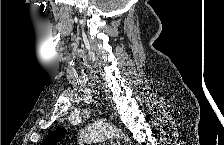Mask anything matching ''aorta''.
Listing matches in <instances>:
<instances>
[{
    "label": "aorta",
    "instance_id": "1",
    "mask_svg": "<svg viewBox=\"0 0 224 145\" xmlns=\"http://www.w3.org/2000/svg\"><path fill=\"white\" fill-rule=\"evenodd\" d=\"M119 135H121L125 141H129L125 134L116 127L107 123H94L81 130L80 140L83 143L104 142Z\"/></svg>",
    "mask_w": 224,
    "mask_h": 145
}]
</instances>
